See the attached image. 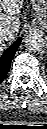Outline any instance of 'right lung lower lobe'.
<instances>
[{"label": "right lung lower lobe", "instance_id": "98d812e1", "mask_svg": "<svg viewBox=\"0 0 47 129\" xmlns=\"http://www.w3.org/2000/svg\"><path fill=\"white\" fill-rule=\"evenodd\" d=\"M21 38H18L4 53L0 56V83L7 75L13 56L20 45Z\"/></svg>", "mask_w": 47, "mask_h": 129}]
</instances>
